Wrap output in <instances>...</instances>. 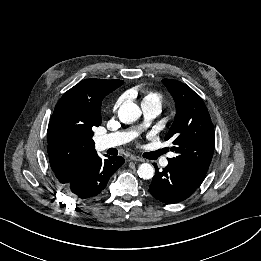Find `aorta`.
Returning <instances> with one entry per match:
<instances>
[{
    "label": "aorta",
    "mask_w": 261,
    "mask_h": 261,
    "mask_svg": "<svg viewBox=\"0 0 261 261\" xmlns=\"http://www.w3.org/2000/svg\"><path fill=\"white\" fill-rule=\"evenodd\" d=\"M139 106L133 102H124L119 110L118 117L121 122L129 124L137 121L141 116ZM154 168L149 163H143L138 168V175L142 179H151L154 176Z\"/></svg>",
    "instance_id": "obj_1"
}]
</instances>
